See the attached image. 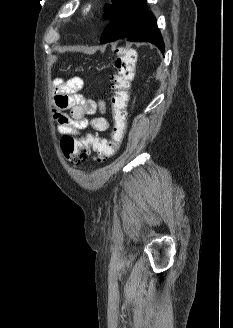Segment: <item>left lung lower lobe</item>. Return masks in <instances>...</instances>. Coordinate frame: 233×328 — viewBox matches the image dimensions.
Here are the masks:
<instances>
[{"instance_id":"1","label":"left lung lower lobe","mask_w":233,"mask_h":328,"mask_svg":"<svg viewBox=\"0 0 233 328\" xmlns=\"http://www.w3.org/2000/svg\"><path fill=\"white\" fill-rule=\"evenodd\" d=\"M145 1L128 0L120 12L109 22L100 42L108 43L122 38L129 41L151 42L163 53L162 36L157 28L154 15L147 10Z\"/></svg>"}]
</instances>
